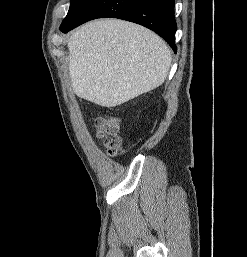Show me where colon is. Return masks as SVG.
<instances>
[{"mask_svg":"<svg viewBox=\"0 0 247 257\" xmlns=\"http://www.w3.org/2000/svg\"><path fill=\"white\" fill-rule=\"evenodd\" d=\"M97 137L102 142L110 155H118L122 152V144L119 137L120 122L112 116H100L95 122Z\"/></svg>","mask_w":247,"mask_h":257,"instance_id":"obj_1","label":"colon"}]
</instances>
